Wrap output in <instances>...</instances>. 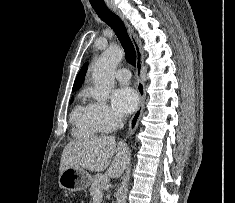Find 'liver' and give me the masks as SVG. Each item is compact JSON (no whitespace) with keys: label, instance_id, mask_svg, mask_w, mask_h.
<instances>
[{"label":"liver","instance_id":"obj_1","mask_svg":"<svg viewBox=\"0 0 235 203\" xmlns=\"http://www.w3.org/2000/svg\"><path fill=\"white\" fill-rule=\"evenodd\" d=\"M129 161L130 151L124 142L117 143L113 136L91 137L70 142L65 146L59 172L71 167L97 172L107 169V176L119 178Z\"/></svg>","mask_w":235,"mask_h":203}]
</instances>
